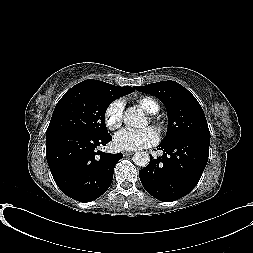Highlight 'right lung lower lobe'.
Returning a JSON list of instances; mask_svg holds the SVG:
<instances>
[{
  "instance_id": "98d812e1",
  "label": "right lung lower lobe",
  "mask_w": 253,
  "mask_h": 253,
  "mask_svg": "<svg viewBox=\"0 0 253 253\" xmlns=\"http://www.w3.org/2000/svg\"><path fill=\"white\" fill-rule=\"evenodd\" d=\"M112 140L109 133L100 136L64 132L46 137V158L52 176L67 196L90 202L109 188L114 167L123 157L97 151Z\"/></svg>"
}]
</instances>
